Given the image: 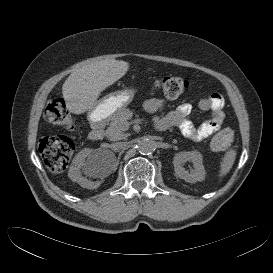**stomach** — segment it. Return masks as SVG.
I'll return each instance as SVG.
<instances>
[{"label": "stomach", "instance_id": "obj_1", "mask_svg": "<svg viewBox=\"0 0 273 273\" xmlns=\"http://www.w3.org/2000/svg\"><path fill=\"white\" fill-rule=\"evenodd\" d=\"M134 94V89H123L106 95L89 110V120L96 123L111 119L132 102Z\"/></svg>", "mask_w": 273, "mask_h": 273}]
</instances>
